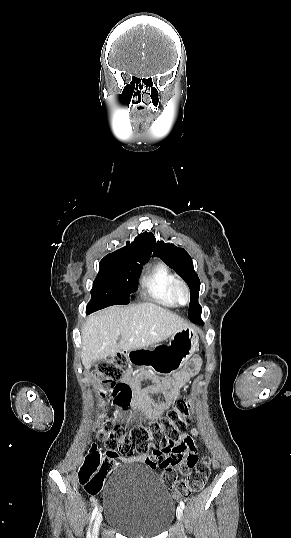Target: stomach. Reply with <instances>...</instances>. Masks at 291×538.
<instances>
[{
  "instance_id": "0dacf381",
  "label": "stomach",
  "mask_w": 291,
  "mask_h": 538,
  "mask_svg": "<svg viewBox=\"0 0 291 538\" xmlns=\"http://www.w3.org/2000/svg\"><path fill=\"white\" fill-rule=\"evenodd\" d=\"M198 345L197 330L189 326L172 335L167 346L159 344L130 350L126 358L135 367H150L162 377H172L173 370L177 369L179 363H187L188 356L196 351Z\"/></svg>"
}]
</instances>
